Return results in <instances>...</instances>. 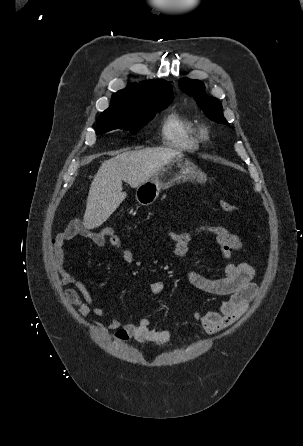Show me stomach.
Returning a JSON list of instances; mask_svg holds the SVG:
<instances>
[{
	"instance_id": "obj_1",
	"label": "stomach",
	"mask_w": 303,
	"mask_h": 446,
	"mask_svg": "<svg viewBox=\"0 0 303 446\" xmlns=\"http://www.w3.org/2000/svg\"><path fill=\"white\" fill-rule=\"evenodd\" d=\"M188 180L204 183L206 175L182 155L177 156L158 169L148 181L138 186L135 198L139 204L148 206L158 198L162 189Z\"/></svg>"
}]
</instances>
